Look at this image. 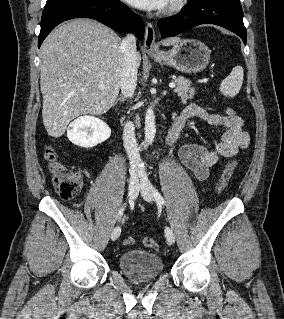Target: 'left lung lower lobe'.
Masks as SVG:
<instances>
[{
  "instance_id": "0a47b994",
  "label": "left lung lower lobe",
  "mask_w": 284,
  "mask_h": 319,
  "mask_svg": "<svg viewBox=\"0 0 284 319\" xmlns=\"http://www.w3.org/2000/svg\"><path fill=\"white\" fill-rule=\"evenodd\" d=\"M200 24H215L236 33L246 44L247 33L239 0H189L177 15L160 19L161 37L180 34Z\"/></svg>"
}]
</instances>
